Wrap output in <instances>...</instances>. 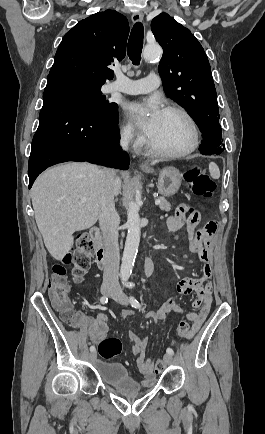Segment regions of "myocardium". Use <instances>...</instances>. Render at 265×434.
I'll list each match as a JSON object with an SVG mask.
<instances>
[{
    "label": "myocardium",
    "instance_id": "f54148a6",
    "mask_svg": "<svg viewBox=\"0 0 265 434\" xmlns=\"http://www.w3.org/2000/svg\"><path fill=\"white\" fill-rule=\"evenodd\" d=\"M176 112L183 116L190 125L191 128V140L188 146L183 148L182 150L176 152L164 151L156 148L150 141H148V147L152 154L158 157H162L165 159H180L188 156L192 152H194L200 142V130L197 122L193 118V116L182 106L180 105H169L163 109V113Z\"/></svg>",
    "mask_w": 265,
    "mask_h": 434
}]
</instances>
